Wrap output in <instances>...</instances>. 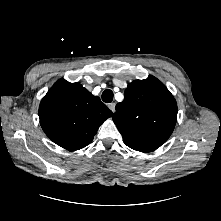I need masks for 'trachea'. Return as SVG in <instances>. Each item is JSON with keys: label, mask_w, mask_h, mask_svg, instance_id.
I'll list each match as a JSON object with an SVG mask.
<instances>
[{"label": "trachea", "mask_w": 221, "mask_h": 221, "mask_svg": "<svg viewBox=\"0 0 221 221\" xmlns=\"http://www.w3.org/2000/svg\"><path fill=\"white\" fill-rule=\"evenodd\" d=\"M102 100L105 103H110L113 100V92L110 89H106L102 93Z\"/></svg>", "instance_id": "1"}]
</instances>
